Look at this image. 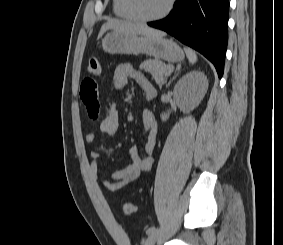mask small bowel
<instances>
[{"label": "small bowel", "mask_w": 283, "mask_h": 245, "mask_svg": "<svg viewBox=\"0 0 283 245\" xmlns=\"http://www.w3.org/2000/svg\"><path fill=\"white\" fill-rule=\"evenodd\" d=\"M130 80H134L142 90L143 97L150 101L155 96V89L147 77L132 65L127 63L119 64L114 71L113 83L117 89H123ZM80 98L88 113L89 118L97 120L100 115V102L98 84L94 78L86 77L80 86ZM142 125L145 134L143 143L144 155L139 154L137 146H131L128 150L131 164L115 171L110 179L99 174V161L102 154L99 151L90 153L92 162L90 164V176L94 181L100 182L109 190H119L133 183L143 171H148L154 164V148L157 137V122L153 113L144 110L142 114ZM119 112L115 102H112L106 112L105 117L100 122V130L109 136L115 135L119 130ZM96 134L90 132L86 135V141L93 143L96 141Z\"/></svg>", "instance_id": "small-bowel-1"}]
</instances>
